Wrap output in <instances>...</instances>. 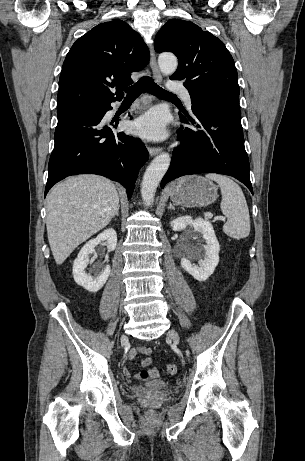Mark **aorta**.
<instances>
[{
    "mask_svg": "<svg viewBox=\"0 0 305 461\" xmlns=\"http://www.w3.org/2000/svg\"><path fill=\"white\" fill-rule=\"evenodd\" d=\"M158 64L163 74L171 75L176 71L178 62L175 55L164 53L159 56ZM170 162V155L161 153L153 159L146 169L141 184V196L147 205L153 203L158 184L167 172Z\"/></svg>",
    "mask_w": 305,
    "mask_h": 461,
    "instance_id": "762f6f07",
    "label": "aorta"
}]
</instances>
